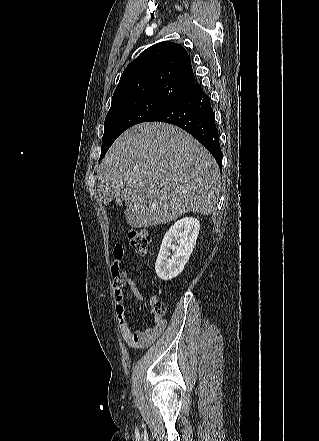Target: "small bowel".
I'll return each instance as SVG.
<instances>
[{
	"label": "small bowel",
	"instance_id": "small-bowel-1",
	"mask_svg": "<svg viewBox=\"0 0 319 441\" xmlns=\"http://www.w3.org/2000/svg\"><path fill=\"white\" fill-rule=\"evenodd\" d=\"M124 255L122 246L117 245L113 250L114 259L119 261ZM124 287H128L135 298L153 305L156 303L154 297L147 298L137 287L135 281L124 271L117 269L114 274V301L120 334L124 341L133 347L144 348L152 345L163 333L165 321L143 330H134L130 327L127 319V308L124 297Z\"/></svg>",
	"mask_w": 319,
	"mask_h": 441
}]
</instances>
